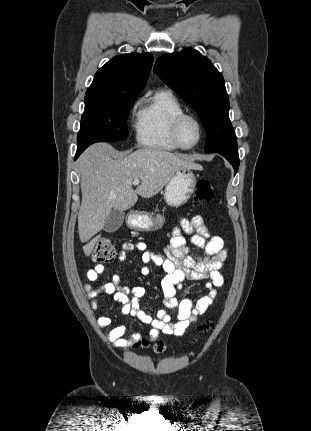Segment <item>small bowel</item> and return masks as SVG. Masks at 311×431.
Masks as SVG:
<instances>
[{
    "label": "small bowel",
    "mask_w": 311,
    "mask_h": 431,
    "mask_svg": "<svg viewBox=\"0 0 311 431\" xmlns=\"http://www.w3.org/2000/svg\"><path fill=\"white\" fill-rule=\"evenodd\" d=\"M184 233L191 236V243L201 249L203 255H195L190 252ZM133 251H144L141 268L143 275L151 272V265L164 271L165 276L161 281L164 303L168 308L177 312V320L173 321L165 310H158L156 313L142 310L141 302L146 293L145 289L134 287L129 290L119 283L118 273L113 275L112 282L100 286L85 285L92 309L97 310L103 296L111 295L121 304L123 314L136 317L152 327L149 332L150 340H155L160 333L182 336L190 324L213 304L218 289L224 284L221 268L227 259L228 250L223 238L217 235L212 236L202 216L195 215L191 219H181L179 224L173 228L170 244L164 252L146 250V245L142 242L127 241L118 254V260L124 261L127 254ZM104 272L105 267L98 264L87 271L86 277L89 281L94 282ZM185 279L203 280L208 293L197 301L178 299L176 294L182 289ZM97 324L102 328L110 327L112 320L107 316H101L98 318ZM125 333L126 327L119 325L107 331L106 336L117 347L130 346L140 338L139 334H134L131 339H124Z\"/></svg>",
    "instance_id": "1"
}]
</instances>
